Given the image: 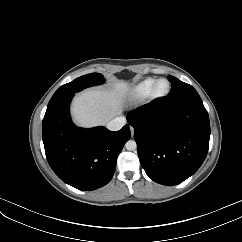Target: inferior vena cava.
<instances>
[{"mask_svg":"<svg viewBox=\"0 0 242 242\" xmlns=\"http://www.w3.org/2000/svg\"><path fill=\"white\" fill-rule=\"evenodd\" d=\"M126 124L124 117H116L108 122L107 128L111 131H118Z\"/></svg>","mask_w":242,"mask_h":242,"instance_id":"inferior-vena-cava-1","label":"inferior vena cava"}]
</instances>
